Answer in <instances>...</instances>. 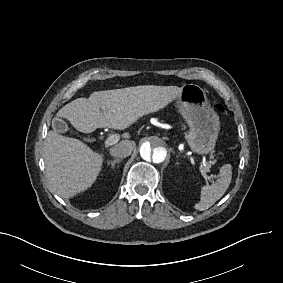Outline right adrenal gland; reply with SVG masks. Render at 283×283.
Here are the masks:
<instances>
[{"label":"right adrenal gland","mask_w":283,"mask_h":283,"mask_svg":"<svg viewBox=\"0 0 283 283\" xmlns=\"http://www.w3.org/2000/svg\"><path fill=\"white\" fill-rule=\"evenodd\" d=\"M120 161V159H115L114 161H108L107 164H111V167L114 168L115 164L119 163Z\"/></svg>","instance_id":"right-adrenal-gland-1"}]
</instances>
